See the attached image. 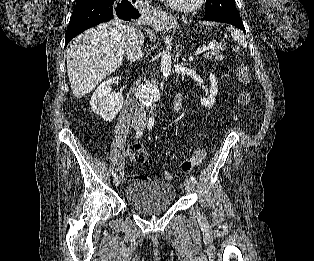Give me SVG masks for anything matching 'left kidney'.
Listing matches in <instances>:
<instances>
[{
	"mask_svg": "<svg viewBox=\"0 0 314 261\" xmlns=\"http://www.w3.org/2000/svg\"><path fill=\"white\" fill-rule=\"evenodd\" d=\"M209 79H210V82H211V90H210V98L209 99H201V105L202 106H205V107H208L209 109L214 105L215 103V96L217 95L218 93V82L216 80V77L213 73H210L209 74Z\"/></svg>",
	"mask_w": 314,
	"mask_h": 261,
	"instance_id": "obj_1",
	"label": "left kidney"
}]
</instances>
